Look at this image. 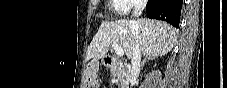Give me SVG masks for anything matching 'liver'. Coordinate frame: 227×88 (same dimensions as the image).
Listing matches in <instances>:
<instances>
[{"instance_id":"1","label":"liver","mask_w":227,"mask_h":88,"mask_svg":"<svg viewBox=\"0 0 227 88\" xmlns=\"http://www.w3.org/2000/svg\"><path fill=\"white\" fill-rule=\"evenodd\" d=\"M133 31L138 33L139 45L144 56H164L177 42L175 28L163 21L147 18L137 21H105L102 22L88 47L87 60L97 61L103 58L112 43L122 47L128 59L132 58L135 44Z\"/></svg>"}]
</instances>
